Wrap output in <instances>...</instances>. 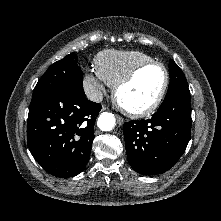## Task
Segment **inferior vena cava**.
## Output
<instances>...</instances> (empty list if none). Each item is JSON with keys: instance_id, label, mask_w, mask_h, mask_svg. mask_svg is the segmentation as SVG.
Here are the masks:
<instances>
[{"instance_id": "1", "label": "inferior vena cava", "mask_w": 221, "mask_h": 221, "mask_svg": "<svg viewBox=\"0 0 221 221\" xmlns=\"http://www.w3.org/2000/svg\"><path fill=\"white\" fill-rule=\"evenodd\" d=\"M86 96L89 100H91L93 102H101L103 99L102 92L95 87L88 88L86 90Z\"/></svg>"}]
</instances>
